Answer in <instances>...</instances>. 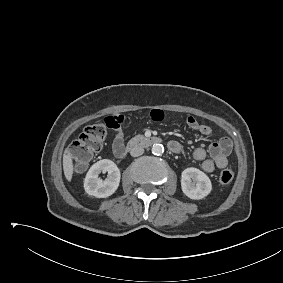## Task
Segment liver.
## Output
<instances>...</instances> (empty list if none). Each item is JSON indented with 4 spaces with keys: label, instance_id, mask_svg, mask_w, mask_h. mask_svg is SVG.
Returning <instances> with one entry per match:
<instances>
[{
    "label": "liver",
    "instance_id": "obj_1",
    "mask_svg": "<svg viewBox=\"0 0 283 283\" xmlns=\"http://www.w3.org/2000/svg\"><path fill=\"white\" fill-rule=\"evenodd\" d=\"M63 170L66 179L70 182L73 176V161H72V154L68 148L65 149L63 154Z\"/></svg>",
    "mask_w": 283,
    "mask_h": 283
}]
</instances>
